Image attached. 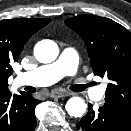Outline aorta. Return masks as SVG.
<instances>
[{
	"label": "aorta",
	"mask_w": 131,
	"mask_h": 131,
	"mask_svg": "<svg viewBox=\"0 0 131 131\" xmlns=\"http://www.w3.org/2000/svg\"><path fill=\"white\" fill-rule=\"evenodd\" d=\"M58 54V45L52 40H42L34 48L35 58L41 63L53 62ZM65 108L70 116L81 117L87 109V104L80 97H72L67 101Z\"/></svg>",
	"instance_id": "762f6f07"
}]
</instances>
